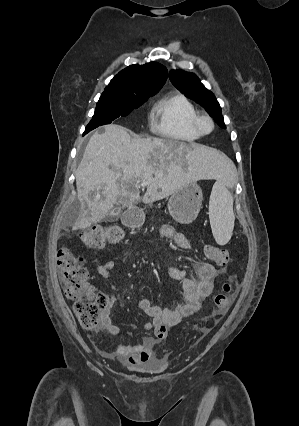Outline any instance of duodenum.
I'll use <instances>...</instances> for the list:
<instances>
[{"label":"duodenum","instance_id":"1","mask_svg":"<svg viewBox=\"0 0 299 426\" xmlns=\"http://www.w3.org/2000/svg\"><path fill=\"white\" fill-rule=\"evenodd\" d=\"M123 220L126 224L131 225L134 224L136 221V215L135 212L130 210L128 212H126L123 216Z\"/></svg>","mask_w":299,"mask_h":426}]
</instances>
